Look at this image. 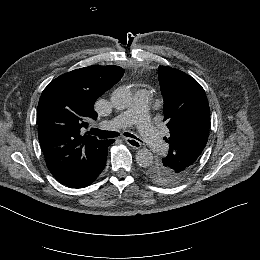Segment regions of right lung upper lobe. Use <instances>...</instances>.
Wrapping results in <instances>:
<instances>
[{"label":"right lung upper lobe","instance_id":"obj_1","mask_svg":"<svg viewBox=\"0 0 260 260\" xmlns=\"http://www.w3.org/2000/svg\"><path fill=\"white\" fill-rule=\"evenodd\" d=\"M119 66H89L54 79L41 94L38 138L47 167L57 179L79 174L103 158L111 140L82 135L96 120L93 105L123 76Z\"/></svg>","mask_w":260,"mask_h":260}]
</instances>
